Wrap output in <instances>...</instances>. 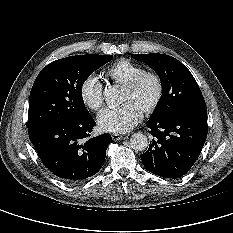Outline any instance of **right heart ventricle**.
<instances>
[{"instance_id": "1", "label": "right heart ventricle", "mask_w": 233, "mask_h": 233, "mask_svg": "<svg viewBox=\"0 0 233 233\" xmlns=\"http://www.w3.org/2000/svg\"><path fill=\"white\" fill-rule=\"evenodd\" d=\"M142 71L145 69L131 60L119 59L106 70L105 75L114 83L125 86L130 79Z\"/></svg>"}]
</instances>
